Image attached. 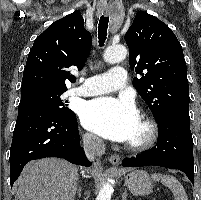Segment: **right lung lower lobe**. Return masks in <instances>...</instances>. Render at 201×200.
I'll list each match as a JSON object with an SVG mask.
<instances>
[{"instance_id":"98d812e1","label":"right lung lower lobe","mask_w":201,"mask_h":200,"mask_svg":"<svg viewBox=\"0 0 201 200\" xmlns=\"http://www.w3.org/2000/svg\"><path fill=\"white\" fill-rule=\"evenodd\" d=\"M64 158L76 165L90 166L80 146L75 114L61 115L50 110L18 114L10 149V184L30 160Z\"/></svg>"}]
</instances>
